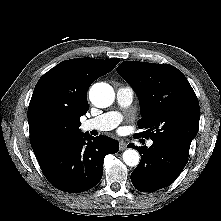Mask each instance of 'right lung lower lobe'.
Here are the masks:
<instances>
[{"label": "right lung lower lobe", "instance_id": "1", "mask_svg": "<svg viewBox=\"0 0 221 221\" xmlns=\"http://www.w3.org/2000/svg\"><path fill=\"white\" fill-rule=\"evenodd\" d=\"M119 149L118 141L87 133L64 143L37 159L47 180L57 189L79 193L93 188L101 180L103 160Z\"/></svg>", "mask_w": 221, "mask_h": 221}]
</instances>
